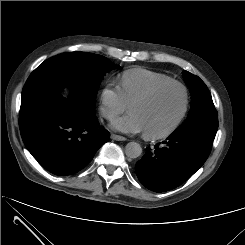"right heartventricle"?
Here are the masks:
<instances>
[{"mask_svg":"<svg viewBox=\"0 0 245 245\" xmlns=\"http://www.w3.org/2000/svg\"><path fill=\"white\" fill-rule=\"evenodd\" d=\"M173 80L170 76L144 69L133 68L124 71L119 78V89L127 104L137 96L145 93L152 86Z\"/></svg>","mask_w":245,"mask_h":245,"instance_id":"right-heart-ventricle-1","label":"right heart ventricle"}]
</instances>
